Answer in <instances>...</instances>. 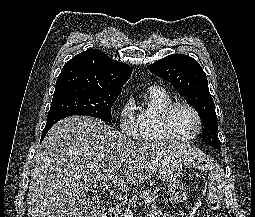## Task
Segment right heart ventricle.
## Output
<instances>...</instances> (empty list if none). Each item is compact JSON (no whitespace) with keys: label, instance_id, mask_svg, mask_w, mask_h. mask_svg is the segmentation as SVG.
<instances>
[{"label":"right heart ventricle","instance_id":"e07e8e85","mask_svg":"<svg viewBox=\"0 0 255 217\" xmlns=\"http://www.w3.org/2000/svg\"><path fill=\"white\" fill-rule=\"evenodd\" d=\"M173 101L171 95L160 86L149 87L136 113V135L141 141H166L169 138L160 126V114Z\"/></svg>","mask_w":255,"mask_h":217}]
</instances>
